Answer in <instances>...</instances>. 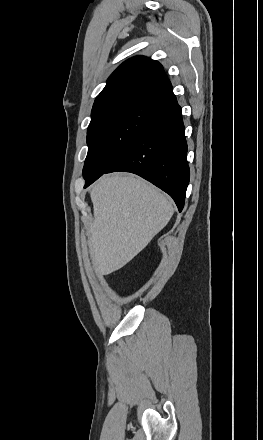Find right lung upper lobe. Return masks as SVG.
I'll return each mask as SVG.
<instances>
[{"label": "right lung upper lobe", "instance_id": "obj_1", "mask_svg": "<svg viewBox=\"0 0 263 440\" xmlns=\"http://www.w3.org/2000/svg\"><path fill=\"white\" fill-rule=\"evenodd\" d=\"M172 95V85L162 65L145 56H136L111 74L95 99L91 116L118 107L158 106Z\"/></svg>", "mask_w": 263, "mask_h": 440}]
</instances>
